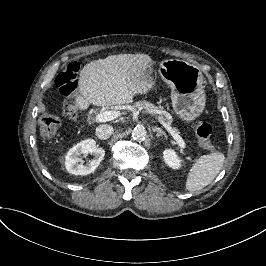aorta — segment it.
I'll return each instance as SVG.
<instances>
[{
	"label": "aorta",
	"instance_id": "aorta-1",
	"mask_svg": "<svg viewBox=\"0 0 266 266\" xmlns=\"http://www.w3.org/2000/svg\"><path fill=\"white\" fill-rule=\"evenodd\" d=\"M132 139L136 140V141H143L145 140L146 136H147V132L145 130V128L143 126H136L133 130H132Z\"/></svg>",
	"mask_w": 266,
	"mask_h": 266
}]
</instances>
